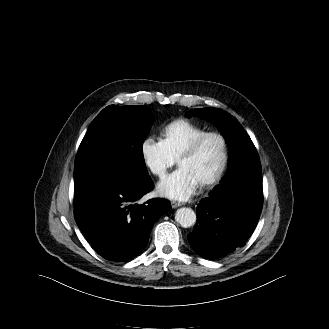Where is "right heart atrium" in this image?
<instances>
[{"mask_svg":"<svg viewBox=\"0 0 329 329\" xmlns=\"http://www.w3.org/2000/svg\"><path fill=\"white\" fill-rule=\"evenodd\" d=\"M141 156L147 168L157 177H163L176 163L162 140L146 137L141 142Z\"/></svg>","mask_w":329,"mask_h":329,"instance_id":"obj_1","label":"right heart atrium"}]
</instances>
